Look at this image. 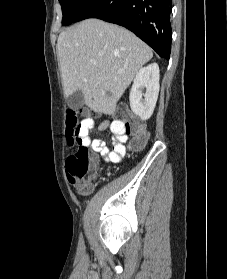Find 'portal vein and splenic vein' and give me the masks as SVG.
<instances>
[{
	"mask_svg": "<svg viewBox=\"0 0 227 279\" xmlns=\"http://www.w3.org/2000/svg\"><path fill=\"white\" fill-rule=\"evenodd\" d=\"M92 63L96 64V62H95V61H92Z\"/></svg>",
	"mask_w": 227,
	"mask_h": 279,
	"instance_id": "obj_1",
	"label": "portal vein and splenic vein"
}]
</instances>
